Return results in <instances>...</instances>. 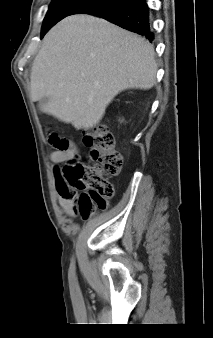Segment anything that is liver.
I'll return each mask as SVG.
<instances>
[{
  "mask_svg": "<svg viewBox=\"0 0 213 338\" xmlns=\"http://www.w3.org/2000/svg\"><path fill=\"white\" fill-rule=\"evenodd\" d=\"M154 47L144 38L90 15L69 16L44 37L30 76L32 101L76 128L89 129L121 91L156 83Z\"/></svg>",
  "mask_w": 213,
  "mask_h": 338,
  "instance_id": "1",
  "label": "liver"
}]
</instances>
